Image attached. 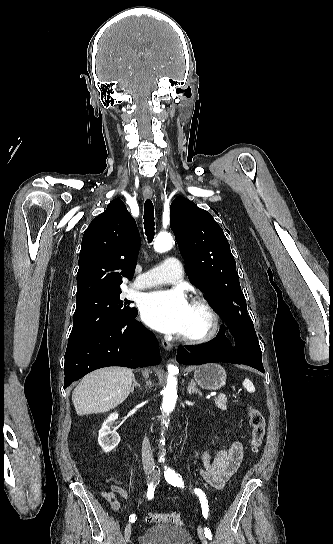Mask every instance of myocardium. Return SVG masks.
Instances as JSON below:
<instances>
[{
    "mask_svg": "<svg viewBox=\"0 0 333 544\" xmlns=\"http://www.w3.org/2000/svg\"><path fill=\"white\" fill-rule=\"evenodd\" d=\"M191 305L200 307L206 314L208 325L204 332L196 335L182 334L181 339L189 344H202L212 340L220 329V316L212 303L205 297L196 296Z\"/></svg>",
    "mask_w": 333,
    "mask_h": 544,
    "instance_id": "1",
    "label": "myocardium"
}]
</instances>
